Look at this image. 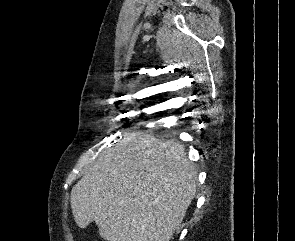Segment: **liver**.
I'll return each mask as SVG.
<instances>
[{
  "mask_svg": "<svg viewBox=\"0 0 295 241\" xmlns=\"http://www.w3.org/2000/svg\"><path fill=\"white\" fill-rule=\"evenodd\" d=\"M196 187L180 143L125 132L72 188L71 209L80 228L95 222L107 241H170Z\"/></svg>",
  "mask_w": 295,
  "mask_h": 241,
  "instance_id": "liver-1",
  "label": "liver"
}]
</instances>
